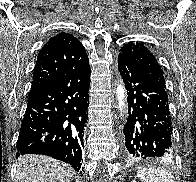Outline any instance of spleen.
I'll return each mask as SVG.
<instances>
[{"label":"spleen","instance_id":"3e777b00","mask_svg":"<svg viewBox=\"0 0 196 182\" xmlns=\"http://www.w3.org/2000/svg\"><path fill=\"white\" fill-rule=\"evenodd\" d=\"M141 182H173L171 174L161 167H145L138 172Z\"/></svg>","mask_w":196,"mask_h":182}]
</instances>
